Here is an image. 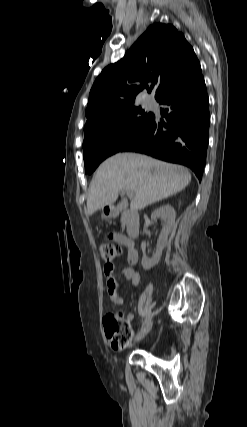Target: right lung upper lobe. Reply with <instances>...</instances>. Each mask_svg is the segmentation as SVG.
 Wrapping results in <instances>:
<instances>
[{"mask_svg":"<svg viewBox=\"0 0 247 427\" xmlns=\"http://www.w3.org/2000/svg\"><path fill=\"white\" fill-rule=\"evenodd\" d=\"M200 69L193 48L173 25L149 26L121 60L97 77L90 91L84 129L134 106L137 94L144 89H154L158 101Z\"/></svg>","mask_w":247,"mask_h":427,"instance_id":"right-lung-upper-lobe-1","label":"right lung upper lobe"}]
</instances>
